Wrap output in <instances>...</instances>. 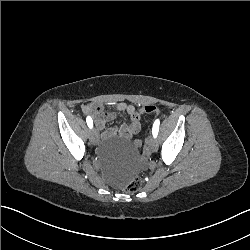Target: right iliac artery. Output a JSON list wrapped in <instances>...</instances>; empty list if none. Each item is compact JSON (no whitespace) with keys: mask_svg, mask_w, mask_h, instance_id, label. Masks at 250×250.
<instances>
[{"mask_svg":"<svg viewBox=\"0 0 250 250\" xmlns=\"http://www.w3.org/2000/svg\"><path fill=\"white\" fill-rule=\"evenodd\" d=\"M86 122H87V125H88L89 128L93 127V120H92V118L90 116H88L86 118Z\"/></svg>","mask_w":250,"mask_h":250,"instance_id":"82829eb1","label":"right iliac artery"}]
</instances>
